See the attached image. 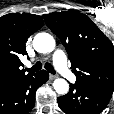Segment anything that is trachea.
I'll return each instance as SVG.
<instances>
[{"instance_id": "obj_1", "label": "trachea", "mask_w": 114, "mask_h": 114, "mask_svg": "<svg viewBox=\"0 0 114 114\" xmlns=\"http://www.w3.org/2000/svg\"><path fill=\"white\" fill-rule=\"evenodd\" d=\"M42 68V63L41 62H37L34 66H32L31 68H27V71L30 73H35L39 70H41ZM44 68L50 72L51 74H55V70L53 68V66L50 63H46L44 65Z\"/></svg>"}]
</instances>
